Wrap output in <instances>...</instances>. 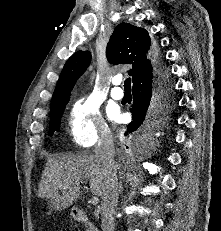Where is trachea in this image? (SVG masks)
I'll return each mask as SVG.
<instances>
[{
  "label": "trachea",
  "mask_w": 221,
  "mask_h": 231,
  "mask_svg": "<svg viewBox=\"0 0 221 231\" xmlns=\"http://www.w3.org/2000/svg\"><path fill=\"white\" fill-rule=\"evenodd\" d=\"M124 88H125V91H130L131 90V79L130 78H127L124 81Z\"/></svg>",
  "instance_id": "1"
}]
</instances>
